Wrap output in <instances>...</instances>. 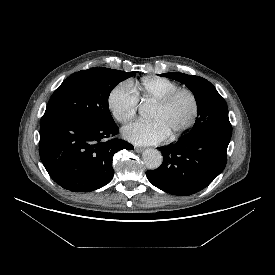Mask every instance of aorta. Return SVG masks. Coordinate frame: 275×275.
<instances>
[{"label": "aorta", "instance_id": "obj_1", "mask_svg": "<svg viewBox=\"0 0 275 275\" xmlns=\"http://www.w3.org/2000/svg\"><path fill=\"white\" fill-rule=\"evenodd\" d=\"M150 106L148 104H142L139 107V114L146 118L149 114ZM143 162L145 166L150 170H155L162 164V155L157 149H147L142 154Z\"/></svg>", "mask_w": 275, "mask_h": 275}]
</instances>
